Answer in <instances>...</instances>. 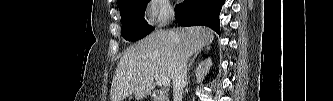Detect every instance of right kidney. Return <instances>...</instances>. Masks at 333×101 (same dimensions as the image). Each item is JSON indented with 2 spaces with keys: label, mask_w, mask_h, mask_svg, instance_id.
Returning a JSON list of instances; mask_svg holds the SVG:
<instances>
[{
  "label": "right kidney",
  "mask_w": 333,
  "mask_h": 101,
  "mask_svg": "<svg viewBox=\"0 0 333 101\" xmlns=\"http://www.w3.org/2000/svg\"><path fill=\"white\" fill-rule=\"evenodd\" d=\"M211 66H212L211 58L205 59L198 65L195 73L198 82H201L203 80L204 76L207 74Z\"/></svg>",
  "instance_id": "obj_1"
}]
</instances>
